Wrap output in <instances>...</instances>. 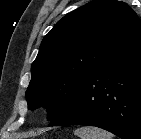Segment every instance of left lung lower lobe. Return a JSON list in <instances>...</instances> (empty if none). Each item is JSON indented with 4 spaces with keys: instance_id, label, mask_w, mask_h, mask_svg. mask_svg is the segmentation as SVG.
I'll return each instance as SVG.
<instances>
[{
    "instance_id": "0a47b994",
    "label": "left lung lower lobe",
    "mask_w": 141,
    "mask_h": 139,
    "mask_svg": "<svg viewBox=\"0 0 141 139\" xmlns=\"http://www.w3.org/2000/svg\"><path fill=\"white\" fill-rule=\"evenodd\" d=\"M90 125L141 139V31L102 62L49 126Z\"/></svg>"
}]
</instances>
